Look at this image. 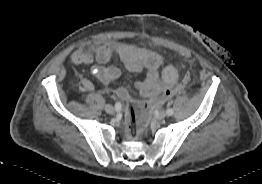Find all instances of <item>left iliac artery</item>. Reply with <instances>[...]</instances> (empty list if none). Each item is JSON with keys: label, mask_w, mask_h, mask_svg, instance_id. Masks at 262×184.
I'll return each mask as SVG.
<instances>
[{"label": "left iliac artery", "mask_w": 262, "mask_h": 184, "mask_svg": "<svg viewBox=\"0 0 262 184\" xmlns=\"http://www.w3.org/2000/svg\"><path fill=\"white\" fill-rule=\"evenodd\" d=\"M173 113H174V111H173V109H171V108H169V109L166 110V114H167L168 116L173 115Z\"/></svg>", "instance_id": "left-iliac-artery-1"}]
</instances>
